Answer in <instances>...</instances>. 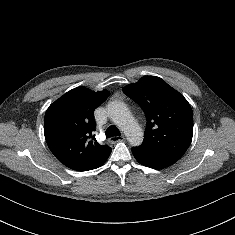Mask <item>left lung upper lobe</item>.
Returning a JSON list of instances; mask_svg holds the SVG:
<instances>
[{
	"mask_svg": "<svg viewBox=\"0 0 235 235\" xmlns=\"http://www.w3.org/2000/svg\"><path fill=\"white\" fill-rule=\"evenodd\" d=\"M123 92L142 107L147 117L140 147L181 157L193 135V112L184 96L156 76H144L125 86Z\"/></svg>",
	"mask_w": 235,
	"mask_h": 235,
	"instance_id": "5c2ea615",
	"label": "left lung upper lobe"
}]
</instances>
